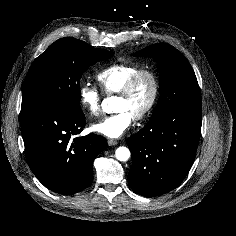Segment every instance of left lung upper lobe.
I'll use <instances>...</instances> for the list:
<instances>
[{
    "label": "left lung upper lobe",
    "instance_id": "5c2ea615",
    "mask_svg": "<svg viewBox=\"0 0 236 236\" xmlns=\"http://www.w3.org/2000/svg\"><path fill=\"white\" fill-rule=\"evenodd\" d=\"M134 56L152 57L158 63L160 97L149 122L176 108L201 107V92L194 70L179 50L158 43L136 52Z\"/></svg>",
    "mask_w": 236,
    "mask_h": 236
}]
</instances>
